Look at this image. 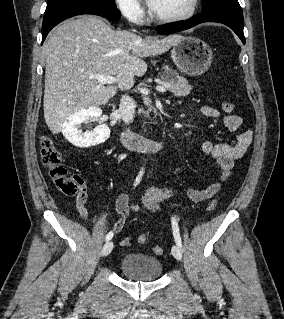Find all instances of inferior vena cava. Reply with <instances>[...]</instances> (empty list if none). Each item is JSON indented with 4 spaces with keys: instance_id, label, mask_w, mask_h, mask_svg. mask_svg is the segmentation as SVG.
<instances>
[{
    "instance_id": "obj_1",
    "label": "inferior vena cava",
    "mask_w": 284,
    "mask_h": 319,
    "mask_svg": "<svg viewBox=\"0 0 284 319\" xmlns=\"http://www.w3.org/2000/svg\"><path fill=\"white\" fill-rule=\"evenodd\" d=\"M135 108V101L131 97L123 95L120 100L119 112L125 123L129 124V122L133 121L135 115Z\"/></svg>"
}]
</instances>
